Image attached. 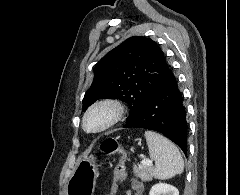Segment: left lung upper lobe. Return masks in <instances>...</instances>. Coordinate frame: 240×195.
<instances>
[{
  "label": "left lung upper lobe",
  "mask_w": 240,
  "mask_h": 195,
  "mask_svg": "<svg viewBox=\"0 0 240 195\" xmlns=\"http://www.w3.org/2000/svg\"><path fill=\"white\" fill-rule=\"evenodd\" d=\"M169 72L163 51L149 38L133 36L105 55L94 68V79L83 98L85 111L101 98L126 102L130 121Z\"/></svg>",
  "instance_id": "1"
}]
</instances>
